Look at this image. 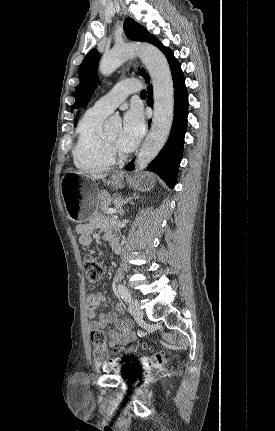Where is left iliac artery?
Instances as JSON below:
<instances>
[{
    "instance_id": "obj_1",
    "label": "left iliac artery",
    "mask_w": 275,
    "mask_h": 431,
    "mask_svg": "<svg viewBox=\"0 0 275 431\" xmlns=\"http://www.w3.org/2000/svg\"><path fill=\"white\" fill-rule=\"evenodd\" d=\"M118 292L121 296V298L125 301V302H130L131 300V294L129 292V290L122 284H119L117 286Z\"/></svg>"
}]
</instances>
